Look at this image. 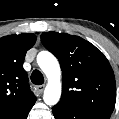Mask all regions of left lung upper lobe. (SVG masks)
Returning a JSON list of instances; mask_svg holds the SVG:
<instances>
[{
	"mask_svg": "<svg viewBox=\"0 0 119 119\" xmlns=\"http://www.w3.org/2000/svg\"><path fill=\"white\" fill-rule=\"evenodd\" d=\"M41 42L60 62L62 96L57 105L112 114L116 83L109 61L90 42L65 33L44 32Z\"/></svg>",
	"mask_w": 119,
	"mask_h": 119,
	"instance_id": "obj_1",
	"label": "left lung upper lobe"
}]
</instances>
